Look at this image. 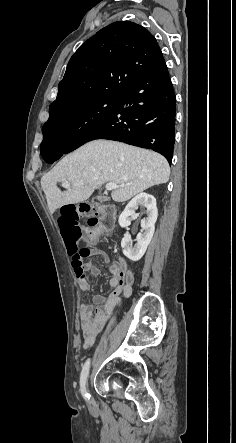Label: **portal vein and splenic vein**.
Here are the masks:
<instances>
[{"instance_id":"portal-vein-and-splenic-vein-1","label":"portal vein and splenic vein","mask_w":236,"mask_h":443,"mask_svg":"<svg viewBox=\"0 0 236 443\" xmlns=\"http://www.w3.org/2000/svg\"><path fill=\"white\" fill-rule=\"evenodd\" d=\"M62 186L65 188H70V185L67 182L62 183ZM123 187V185H117L115 183H108L106 184V190H114L117 188Z\"/></svg>"}]
</instances>
